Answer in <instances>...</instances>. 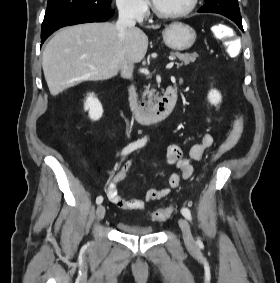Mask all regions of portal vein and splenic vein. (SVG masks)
Masks as SVG:
<instances>
[{
  "label": "portal vein and splenic vein",
  "instance_id": "portal-vein-and-splenic-vein-1",
  "mask_svg": "<svg viewBox=\"0 0 280 283\" xmlns=\"http://www.w3.org/2000/svg\"><path fill=\"white\" fill-rule=\"evenodd\" d=\"M173 66H174V62L171 61V62H169V63L166 65V68H167V69H171ZM140 72L143 73V74H145V75H149L148 69H145V68L140 69Z\"/></svg>",
  "mask_w": 280,
  "mask_h": 283
}]
</instances>
